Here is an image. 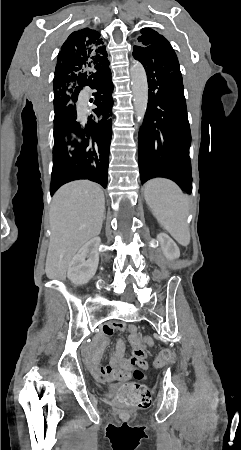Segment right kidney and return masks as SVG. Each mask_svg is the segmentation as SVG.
<instances>
[{
  "label": "right kidney",
  "instance_id": "ca27d5eb",
  "mask_svg": "<svg viewBox=\"0 0 241 450\" xmlns=\"http://www.w3.org/2000/svg\"><path fill=\"white\" fill-rule=\"evenodd\" d=\"M100 242V238H92L72 258L67 274L72 284L82 286V284H87L95 276L99 264L98 248Z\"/></svg>",
  "mask_w": 241,
  "mask_h": 450
}]
</instances>
